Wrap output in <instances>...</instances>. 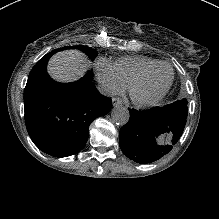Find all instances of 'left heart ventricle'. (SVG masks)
<instances>
[{"label":"left heart ventricle","mask_w":219,"mask_h":219,"mask_svg":"<svg viewBox=\"0 0 219 219\" xmlns=\"http://www.w3.org/2000/svg\"><path fill=\"white\" fill-rule=\"evenodd\" d=\"M170 77L171 72L168 67L157 68L136 89L135 96L140 100L156 98L167 87Z\"/></svg>","instance_id":"b2bd125f"}]
</instances>
